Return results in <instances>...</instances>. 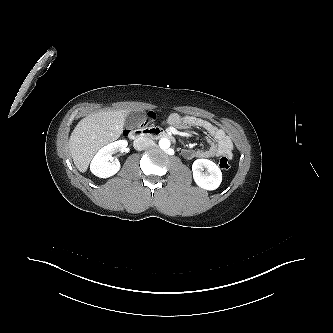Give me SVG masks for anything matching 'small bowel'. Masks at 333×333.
I'll use <instances>...</instances> for the list:
<instances>
[{"instance_id": "1", "label": "small bowel", "mask_w": 333, "mask_h": 333, "mask_svg": "<svg viewBox=\"0 0 333 333\" xmlns=\"http://www.w3.org/2000/svg\"><path fill=\"white\" fill-rule=\"evenodd\" d=\"M166 123L172 127L179 129H201L210 135L211 138L208 140V148L186 149L183 152L186 158H212L224 155L228 156L229 158L232 157L233 144L231 139L224 130H222L215 124L192 115H180L178 113H173L169 115Z\"/></svg>"}]
</instances>
